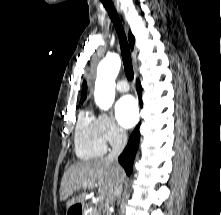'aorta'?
Returning <instances> with one entry per match:
<instances>
[{
  "label": "aorta",
  "instance_id": "762f6f07",
  "mask_svg": "<svg viewBox=\"0 0 221 215\" xmlns=\"http://www.w3.org/2000/svg\"><path fill=\"white\" fill-rule=\"evenodd\" d=\"M121 67L120 56L116 53L106 55L97 67L94 98L100 109H109L115 98V79Z\"/></svg>",
  "mask_w": 221,
  "mask_h": 215
}]
</instances>
